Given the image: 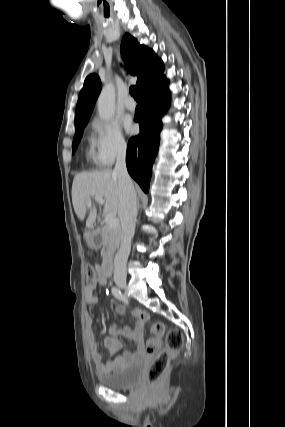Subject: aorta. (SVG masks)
<instances>
[{"label": "aorta", "instance_id": "1", "mask_svg": "<svg viewBox=\"0 0 285 427\" xmlns=\"http://www.w3.org/2000/svg\"><path fill=\"white\" fill-rule=\"evenodd\" d=\"M115 97V87L110 82L102 88L97 101L98 114L101 119L108 121L114 116Z\"/></svg>", "mask_w": 285, "mask_h": 427}]
</instances>
